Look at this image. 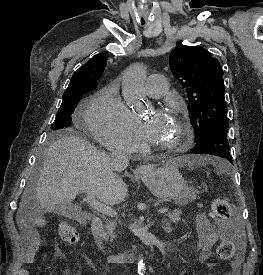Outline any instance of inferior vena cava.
I'll list each match as a JSON object with an SVG mask.
<instances>
[{"instance_id": "1", "label": "inferior vena cava", "mask_w": 263, "mask_h": 275, "mask_svg": "<svg viewBox=\"0 0 263 275\" xmlns=\"http://www.w3.org/2000/svg\"><path fill=\"white\" fill-rule=\"evenodd\" d=\"M110 159L114 166H118L120 168H125L129 164V154L122 149L113 150L110 154Z\"/></svg>"}]
</instances>
